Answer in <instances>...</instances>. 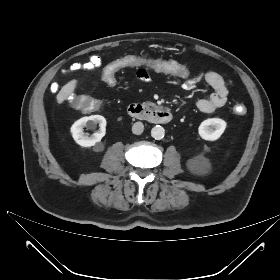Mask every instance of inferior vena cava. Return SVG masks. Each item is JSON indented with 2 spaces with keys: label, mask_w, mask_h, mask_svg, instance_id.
Here are the masks:
<instances>
[{
  "label": "inferior vena cava",
  "mask_w": 280,
  "mask_h": 280,
  "mask_svg": "<svg viewBox=\"0 0 280 280\" xmlns=\"http://www.w3.org/2000/svg\"><path fill=\"white\" fill-rule=\"evenodd\" d=\"M143 131H144V125L142 122H136L133 124V126H132L133 134L140 135L143 133Z\"/></svg>",
  "instance_id": "obj_1"
}]
</instances>
